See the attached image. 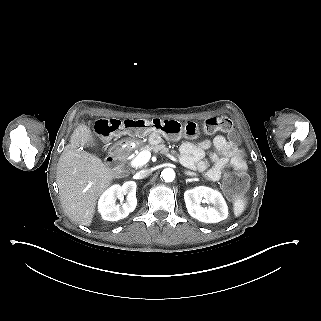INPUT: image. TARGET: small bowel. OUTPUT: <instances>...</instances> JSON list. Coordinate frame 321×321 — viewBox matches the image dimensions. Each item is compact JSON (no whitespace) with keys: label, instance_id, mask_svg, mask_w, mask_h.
Segmentation results:
<instances>
[{"label":"small bowel","instance_id":"1","mask_svg":"<svg viewBox=\"0 0 321 321\" xmlns=\"http://www.w3.org/2000/svg\"><path fill=\"white\" fill-rule=\"evenodd\" d=\"M154 141H159L158 136H153ZM215 152L210 156V163L205 159V153L211 147ZM237 147L222 135L216 136L212 141L205 139L195 144L190 141L183 142L180 146L182 163L191 169H197L204 172L206 177L211 181H218L223 169L228 164L235 162L233 155ZM241 169L246 168L244 161L239 165Z\"/></svg>","mask_w":321,"mask_h":321}]
</instances>
